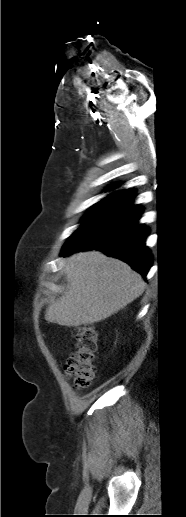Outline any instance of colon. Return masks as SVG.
<instances>
[{"label": "colon", "mask_w": 186, "mask_h": 517, "mask_svg": "<svg viewBox=\"0 0 186 517\" xmlns=\"http://www.w3.org/2000/svg\"><path fill=\"white\" fill-rule=\"evenodd\" d=\"M72 334L76 340V350L65 365V375L73 380L77 388H86L96 372L98 330L92 325H80L73 327Z\"/></svg>", "instance_id": "5ec220e1"}]
</instances>
